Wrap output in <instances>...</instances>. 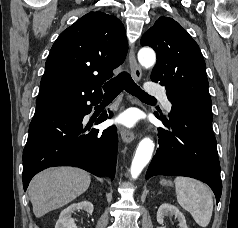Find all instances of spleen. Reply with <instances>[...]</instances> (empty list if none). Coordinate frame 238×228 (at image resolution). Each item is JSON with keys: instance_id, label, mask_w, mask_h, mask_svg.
<instances>
[{"instance_id": "1", "label": "spleen", "mask_w": 238, "mask_h": 228, "mask_svg": "<svg viewBox=\"0 0 238 228\" xmlns=\"http://www.w3.org/2000/svg\"><path fill=\"white\" fill-rule=\"evenodd\" d=\"M175 188L179 205L188 211L195 222L207 227L213 211V196L210 189L196 179L176 177Z\"/></svg>"}]
</instances>
